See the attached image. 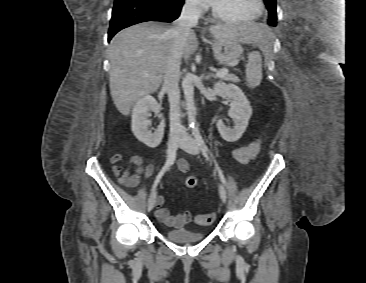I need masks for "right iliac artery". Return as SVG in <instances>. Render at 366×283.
Returning <instances> with one entry per match:
<instances>
[{
	"instance_id": "right-iliac-artery-1",
	"label": "right iliac artery",
	"mask_w": 366,
	"mask_h": 283,
	"mask_svg": "<svg viewBox=\"0 0 366 283\" xmlns=\"http://www.w3.org/2000/svg\"><path fill=\"white\" fill-rule=\"evenodd\" d=\"M175 155L176 153L173 152L167 159V162L165 163V165L163 166L162 170L159 172L153 186H152V189L151 191H154L159 180L161 179V177L163 176V174L169 169V167L174 163V160H175Z\"/></svg>"
}]
</instances>
